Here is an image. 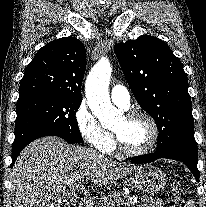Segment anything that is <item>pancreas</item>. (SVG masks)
Masks as SVG:
<instances>
[{"label":"pancreas","mask_w":206,"mask_h":207,"mask_svg":"<svg viewBox=\"0 0 206 207\" xmlns=\"http://www.w3.org/2000/svg\"><path fill=\"white\" fill-rule=\"evenodd\" d=\"M122 195L123 193L121 191L110 192L93 207H121L122 205L125 207H135L132 201H125V199L121 197Z\"/></svg>","instance_id":"pancreas-1"}]
</instances>
